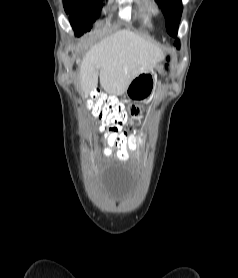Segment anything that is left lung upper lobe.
Here are the masks:
<instances>
[{
    "mask_svg": "<svg viewBox=\"0 0 238 278\" xmlns=\"http://www.w3.org/2000/svg\"><path fill=\"white\" fill-rule=\"evenodd\" d=\"M160 2L165 14V23L167 32L174 36L178 30L182 14L181 0H157Z\"/></svg>",
    "mask_w": 238,
    "mask_h": 278,
    "instance_id": "obj_1",
    "label": "left lung upper lobe"
}]
</instances>
